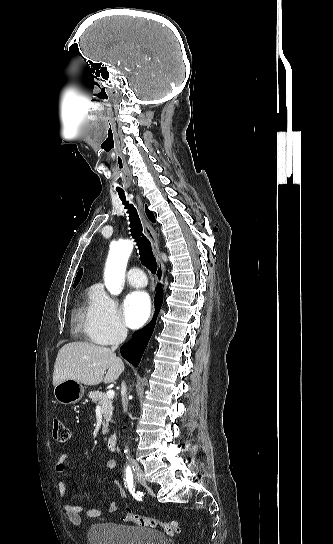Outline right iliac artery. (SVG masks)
I'll list each match as a JSON object with an SVG mask.
<instances>
[{
	"mask_svg": "<svg viewBox=\"0 0 333 544\" xmlns=\"http://www.w3.org/2000/svg\"><path fill=\"white\" fill-rule=\"evenodd\" d=\"M125 481L127 484V488L129 492L133 495V497L137 500L141 499L136 493H135V484L133 480V474L130 466H127L126 468V475H125Z\"/></svg>",
	"mask_w": 333,
	"mask_h": 544,
	"instance_id": "right-iliac-artery-1",
	"label": "right iliac artery"
}]
</instances>
